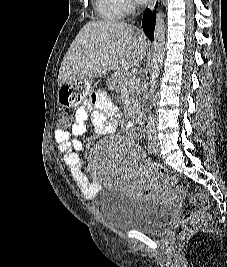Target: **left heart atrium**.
I'll list each match as a JSON object with an SVG mask.
<instances>
[{"instance_id": "1", "label": "left heart atrium", "mask_w": 227, "mask_h": 267, "mask_svg": "<svg viewBox=\"0 0 227 267\" xmlns=\"http://www.w3.org/2000/svg\"><path fill=\"white\" fill-rule=\"evenodd\" d=\"M139 2H146L147 0H138Z\"/></svg>"}]
</instances>
